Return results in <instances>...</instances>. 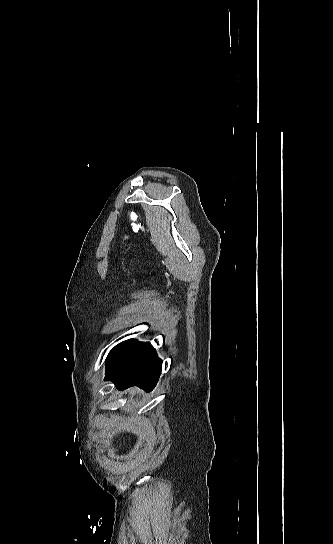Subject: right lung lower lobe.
Instances as JSON below:
<instances>
[{"mask_svg":"<svg viewBox=\"0 0 333 544\" xmlns=\"http://www.w3.org/2000/svg\"><path fill=\"white\" fill-rule=\"evenodd\" d=\"M162 361L148 342L135 341L107 362L105 381L119 390L132 386L150 392L161 374Z\"/></svg>","mask_w":333,"mask_h":544,"instance_id":"98d812e1","label":"right lung lower lobe"}]
</instances>
